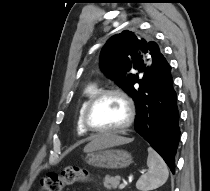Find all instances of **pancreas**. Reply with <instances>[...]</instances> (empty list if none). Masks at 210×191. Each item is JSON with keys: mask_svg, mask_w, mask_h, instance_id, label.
<instances>
[{"mask_svg": "<svg viewBox=\"0 0 210 191\" xmlns=\"http://www.w3.org/2000/svg\"><path fill=\"white\" fill-rule=\"evenodd\" d=\"M120 182V177L119 176H115V177H110L109 175L105 176L104 178V187L107 189H115L117 188V186L119 185Z\"/></svg>", "mask_w": 210, "mask_h": 191, "instance_id": "pancreas-1", "label": "pancreas"}]
</instances>
